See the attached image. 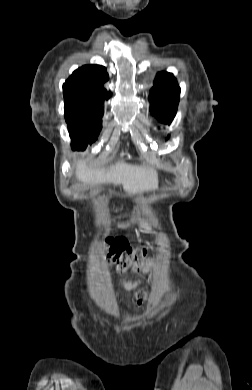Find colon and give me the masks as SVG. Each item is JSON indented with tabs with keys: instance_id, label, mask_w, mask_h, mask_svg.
Instances as JSON below:
<instances>
[{
	"instance_id": "obj_1",
	"label": "colon",
	"mask_w": 252,
	"mask_h": 390,
	"mask_svg": "<svg viewBox=\"0 0 252 390\" xmlns=\"http://www.w3.org/2000/svg\"><path fill=\"white\" fill-rule=\"evenodd\" d=\"M106 257L108 262L117 271L125 272H148L150 261L147 259L143 248H132L129 242L122 237L108 238L106 240ZM148 291L141 290L137 293L138 304H143L148 300Z\"/></svg>"
}]
</instances>
